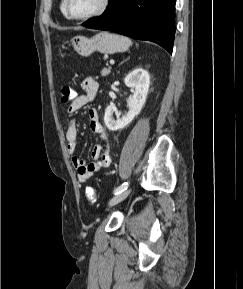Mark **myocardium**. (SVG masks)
Here are the masks:
<instances>
[{
    "label": "myocardium",
    "instance_id": "1",
    "mask_svg": "<svg viewBox=\"0 0 243 289\" xmlns=\"http://www.w3.org/2000/svg\"><path fill=\"white\" fill-rule=\"evenodd\" d=\"M109 5H110V0H102L100 7L96 11L88 15H84V16H74L70 13V10H69V0H64V9H65V13L67 17L72 20H77V21L89 20V19L98 17L107 11V9L109 8Z\"/></svg>",
    "mask_w": 243,
    "mask_h": 289
}]
</instances>
